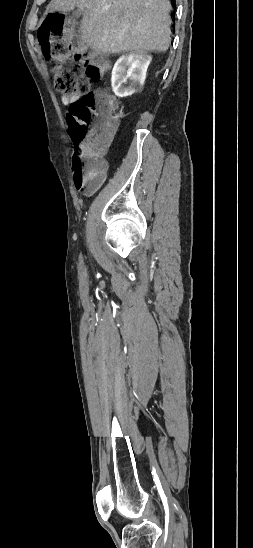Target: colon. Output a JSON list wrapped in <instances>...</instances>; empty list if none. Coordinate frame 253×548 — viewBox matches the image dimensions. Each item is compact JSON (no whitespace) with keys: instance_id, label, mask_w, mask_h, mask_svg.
Wrapping results in <instances>:
<instances>
[{"instance_id":"1","label":"colon","mask_w":253,"mask_h":548,"mask_svg":"<svg viewBox=\"0 0 253 548\" xmlns=\"http://www.w3.org/2000/svg\"><path fill=\"white\" fill-rule=\"evenodd\" d=\"M38 37L44 58L54 64L51 72L55 89L64 95L79 96L69 107L68 122L75 144L74 183L86 186L106 170L102 156L117 125V106L108 94L90 90V82L101 77L102 65L79 44L67 42L63 14L49 13L39 28ZM67 61L71 68L65 66Z\"/></svg>"}]
</instances>
